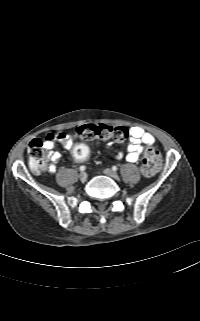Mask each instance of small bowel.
I'll use <instances>...</instances> for the list:
<instances>
[{"label":"small bowel","mask_w":200,"mask_h":321,"mask_svg":"<svg viewBox=\"0 0 200 321\" xmlns=\"http://www.w3.org/2000/svg\"><path fill=\"white\" fill-rule=\"evenodd\" d=\"M127 133L129 135L127 152L126 154L118 153L115 157L117 159L125 158L128 162L135 163L143 152V146H151L155 142V138L139 126L129 127ZM56 142H59L67 150H70L71 146L75 144L73 138L65 132L49 134L46 137L44 147L47 151V157L51 162L48 166V172L50 173H55L56 163L61 159V154L53 150Z\"/></svg>","instance_id":"c3829d8e"}]
</instances>
